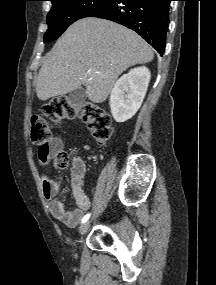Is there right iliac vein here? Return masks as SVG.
I'll return each mask as SVG.
<instances>
[{"instance_id":"obj_1","label":"right iliac vein","mask_w":216,"mask_h":285,"mask_svg":"<svg viewBox=\"0 0 216 285\" xmlns=\"http://www.w3.org/2000/svg\"><path fill=\"white\" fill-rule=\"evenodd\" d=\"M89 226H90V221H86L85 223H83L79 228L80 234L84 235L87 232Z\"/></svg>"}]
</instances>
